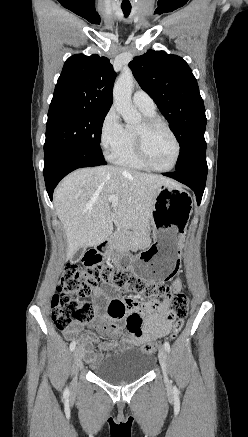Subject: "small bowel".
Listing matches in <instances>:
<instances>
[{"mask_svg":"<svg viewBox=\"0 0 248 437\" xmlns=\"http://www.w3.org/2000/svg\"><path fill=\"white\" fill-rule=\"evenodd\" d=\"M173 288L180 291L182 283L176 279ZM95 300L107 309L99 314L93 322V327L105 334L107 342L99 345V353L94 352L93 344L97 338L91 335L83 336L82 348L85 360L96 366L103 353L113 354L120 348H132L151 342L170 333L172 322L169 318V305L166 299L162 302L152 300L142 306L135 296H125L121 291H115L113 285H98L93 291ZM125 322L128 332L121 340L120 328L117 323ZM81 330V326L73 325L63 330L67 340L74 338Z\"/></svg>","mask_w":248,"mask_h":437,"instance_id":"obj_1","label":"small bowel"}]
</instances>
